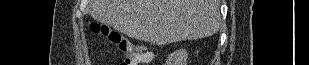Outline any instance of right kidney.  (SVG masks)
<instances>
[{"mask_svg":"<svg viewBox=\"0 0 309 65\" xmlns=\"http://www.w3.org/2000/svg\"><path fill=\"white\" fill-rule=\"evenodd\" d=\"M188 53L186 49H179L169 55L166 64L167 65H186Z\"/></svg>","mask_w":309,"mask_h":65,"instance_id":"right-kidney-1","label":"right kidney"}]
</instances>
